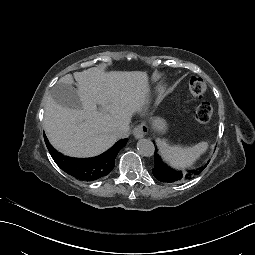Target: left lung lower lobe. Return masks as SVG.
I'll list each match as a JSON object with an SVG mask.
<instances>
[{
  "label": "left lung lower lobe",
  "mask_w": 255,
  "mask_h": 255,
  "mask_svg": "<svg viewBox=\"0 0 255 255\" xmlns=\"http://www.w3.org/2000/svg\"><path fill=\"white\" fill-rule=\"evenodd\" d=\"M154 144H157V141H154ZM159 153H162V150H159ZM162 157L153 158L151 174L167 184L177 183L179 180H185L186 178H192L194 173L201 171V168H205L207 163H210L211 156H206L205 161L200 163V166L192 169H184L183 171H172L169 168H166L164 163H160Z\"/></svg>",
  "instance_id": "left-lung-lower-lobe-1"
}]
</instances>
